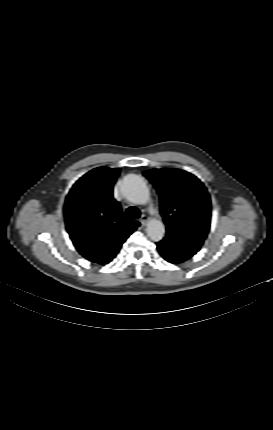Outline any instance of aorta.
Segmentation results:
<instances>
[{"label": "aorta", "mask_w": 273, "mask_h": 430, "mask_svg": "<svg viewBox=\"0 0 273 430\" xmlns=\"http://www.w3.org/2000/svg\"><path fill=\"white\" fill-rule=\"evenodd\" d=\"M122 190L132 203L145 205L150 200L147 184L136 174H129L123 179ZM146 232L152 241L158 242L165 235V226L160 220L152 219L147 225Z\"/></svg>", "instance_id": "762f6f07"}]
</instances>
